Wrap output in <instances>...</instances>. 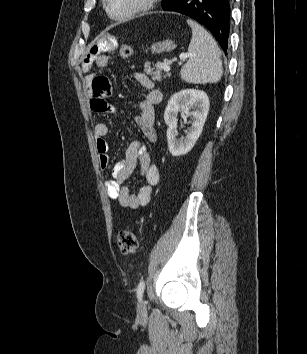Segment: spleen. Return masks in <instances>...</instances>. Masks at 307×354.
Masks as SVG:
<instances>
[{"instance_id": "spleen-1", "label": "spleen", "mask_w": 307, "mask_h": 354, "mask_svg": "<svg viewBox=\"0 0 307 354\" xmlns=\"http://www.w3.org/2000/svg\"><path fill=\"white\" fill-rule=\"evenodd\" d=\"M187 23L192 29V39L188 47L190 57L180 71L181 78L194 84L217 83L223 73L221 51L203 27L192 20Z\"/></svg>"}]
</instances>
